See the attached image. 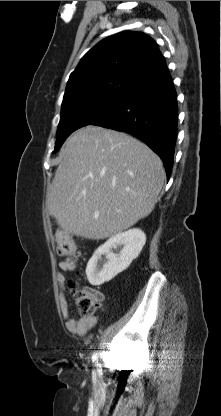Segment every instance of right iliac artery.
Returning <instances> with one entry per match:
<instances>
[{"label": "right iliac artery", "instance_id": "1", "mask_svg": "<svg viewBox=\"0 0 221 416\" xmlns=\"http://www.w3.org/2000/svg\"><path fill=\"white\" fill-rule=\"evenodd\" d=\"M92 362L95 365H98V354L97 353H94V355L92 356Z\"/></svg>", "mask_w": 221, "mask_h": 416}]
</instances>
